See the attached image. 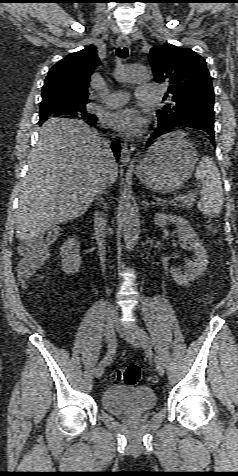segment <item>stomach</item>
<instances>
[{
	"instance_id": "0dacf381",
	"label": "stomach",
	"mask_w": 238,
	"mask_h": 476,
	"mask_svg": "<svg viewBox=\"0 0 238 476\" xmlns=\"http://www.w3.org/2000/svg\"><path fill=\"white\" fill-rule=\"evenodd\" d=\"M197 152L182 132H171L156 141L136 166L138 178L150 189L171 193L192 174Z\"/></svg>"
}]
</instances>
